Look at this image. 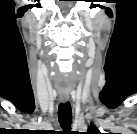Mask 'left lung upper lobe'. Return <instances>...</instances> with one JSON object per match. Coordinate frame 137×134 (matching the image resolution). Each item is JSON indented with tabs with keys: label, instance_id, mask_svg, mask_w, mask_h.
<instances>
[{
	"label": "left lung upper lobe",
	"instance_id": "1",
	"mask_svg": "<svg viewBox=\"0 0 137 134\" xmlns=\"http://www.w3.org/2000/svg\"><path fill=\"white\" fill-rule=\"evenodd\" d=\"M88 134H100L98 128L94 125V124H90V126L88 127Z\"/></svg>",
	"mask_w": 137,
	"mask_h": 134
}]
</instances>
